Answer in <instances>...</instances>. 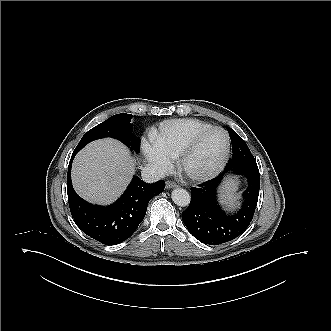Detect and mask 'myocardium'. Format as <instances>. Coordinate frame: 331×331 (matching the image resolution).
<instances>
[{
  "label": "myocardium",
  "mask_w": 331,
  "mask_h": 331,
  "mask_svg": "<svg viewBox=\"0 0 331 331\" xmlns=\"http://www.w3.org/2000/svg\"><path fill=\"white\" fill-rule=\"evenodd\" d=\"M218 131L222 133L225 140V147L222 154V157L218 164L214 166L211 170L205 172V173H199V174H191L186 171V162L188 158L193 154V152L196 150L197 146L201 142V140L208 135L209 133ZM229 153H230V137L228 133L221 127L217 126H211L207 129H204L194 135L184 146L180 154L178 155L177 160V167L178 170L189 180L193 182H204L208 181L214 177H216L226 166L228 159H229Z\"/></svg>",
  "instance_id": "myocardium-1"
}]
</instances>
